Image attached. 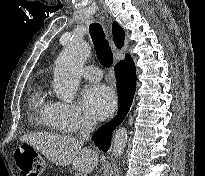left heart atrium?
<instances>
[{
	"label": "left heart atrium",
	"instance_id": "39dd6f15",
	"mask_svg": "<svg viewBox=\"0 0 205 176\" xmlns=\"http://www.w3.org/2000/svg\"><path fill=\"white\" fill-rule=\"evenodd\" d=\"M82 103L86 111L97 119H105L115 108L116 97L104 84H92L84 88Z\"/></svg>",
	"mask_w": 205,
	"mask_h": 176
}]
</instances>
